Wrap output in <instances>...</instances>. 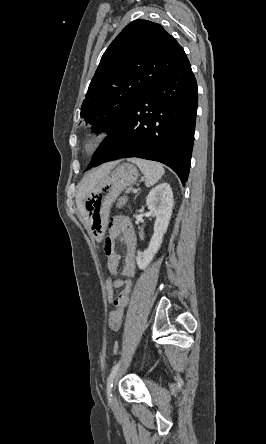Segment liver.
I'll list each match as a JSON object with an SVG mask.
<instances>
[{
  "label": "liver",
  "instance_id": "obj_1",
  "mask_svg": "<svg viewBox=\"0 0 266 444\" xmlns=\"http://www.w3.org/2000/svg\"><path fill=\"white\" fill-rule=\"evenodd\" d=\"M117 164V162H110L103 164L99 168L87 174L79 184L78 193L76 196V205L83 216V201L89 192L104 178ZM87 227V225H86Z\"/></svg>",
  "mask_w": 266,
  "mask_h": 444
}]
</instances>
